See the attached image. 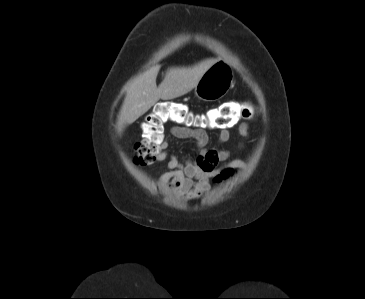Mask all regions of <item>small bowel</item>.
I'll return each instance as SVG.
<instances>
[{"label": "small bowel", "instance_id": "1", "mask_svg": "<svg viewBox=\"0 0 365 299\" xmlns=\"http://www.w3.org/2000/svg\"><path fill=\"white\" fill-rule=\"evenodd\" d=\"M240 135L246 139L249 135V124L239 125ZM168 137L192 140L196 144V154L191 160H181L168 152L165 141L157 161L168 159L166 171L160 176L158 185L173 195H180L187 199L200 198L209 190L212 182L220 183L235 176L237 169L244 166L240 160L231 161L222 168H217L221 162L228 160L232 152L228 149L209 147V137L202 129H189L172 126ZM230 138L227 128L220 129L217 143L223 144ZM242 148V145L240 146Z\"/></svg>", "mask_w": 365, "mask_h": 299}]
</instances>
